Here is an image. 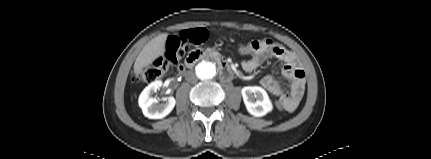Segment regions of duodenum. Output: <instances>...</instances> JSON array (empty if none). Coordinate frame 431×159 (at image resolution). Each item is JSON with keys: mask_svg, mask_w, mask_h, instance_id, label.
I'll list each match as a JSON object with an SVG mask.
<instances>
[{"mask_svg": "<svg viewBox=\"0 0 431 159\" xmlns=\"http://www.w3.org/2000/svg\"><path fill=\"white\" fill-rule=\"evenodd\" d=\"M203 59H210L214 61L221 73V77L223 80L228 81L233 77V72L229 66V64L217 53L215 52H207L202 50H195L188 54L185 60V66L180 67V71H184L186 68L193 67L198 61Z\"/></svg>", "mask_w": 431, "mask_h": 159, "instance_id": "obj_1", "label": "duodenum"}]
</instances>
